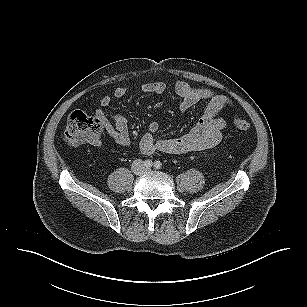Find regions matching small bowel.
Segmentation results:
<instances>
[{"label": "small bowel", "mask_w": 307, "mask_h": 307, "mask_svg": "<svg viewBox=\"0 0 307 307\" xmlns=\"http://www.w3.org/2000/svg\"><path fill=\"white\" fill-rule=\"evenodd\" d=\"M166 89L163 82H147L139 87L141 92L150 94H162ZM174 92L180 97V110L185 111L197 104L204 103V112L190 132L176 138H155L160 125L158 122H151L139 142V148L143 154L151 155L156 152H164L184 155L213 148L221 141L227 122L219 116V113L224 109L232 108V100L210 89L194 88L184 81L175 83ZM127 93L126 86H118L114 90L116 98H122ZM111 101L110 95L104 96L101 99V106L96 110V116L108 136L117 145L128 147L131 139L126 117L121 113L108 116L104 110ZM93 144L98 146L100 142L96 141Z\"/></svg>", "instance_id": "small-bowel-1"}]
</instances>
